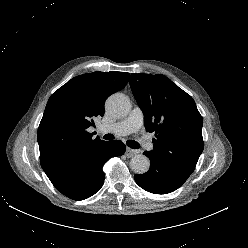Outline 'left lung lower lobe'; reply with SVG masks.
Segmentation results:
<instances>
[{
  "instance_id": "0a47b994",
  "label": "left lung lower lobe",
  "mask_w": 248,
  "mask_h": 248,
  "mask_svg": "<svg viewBox=\"0 0 248 248\" xmlns=\"http://www.w3.org/2000/svg\"><path fill=\"white\" fill-rule=\"evenodd\" d=\"M144 154L150 159V170L134 176L136 183L144 190L154 194H167L178 189L186 181L169 167L153 159L148 151Z\"/></svg>"
}]
</instances>
